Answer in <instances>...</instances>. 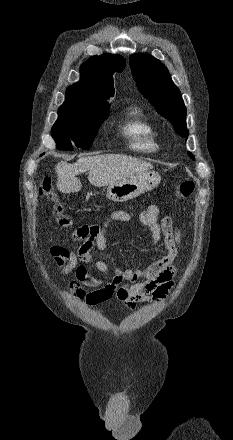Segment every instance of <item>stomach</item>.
Returning <instances> with one entry per match:
<instances>
[{
    "label": "stomach",
    "instance_id": "stomach-1",
    "mask_svg": "<svg viewBox=\"0 0 233 440\" xmlns=\"http://www.w3.org/2000/svg\"><path fill=\"white\" fill-rule=\"evenodd\" d=\"M160 181L161 176L154 171L136 173L109 185L106 196L113 202L128 201L154 189Z\"/></svg>",
    "mask_w": 233,
    "mask_h": 440
}]
</instances>
